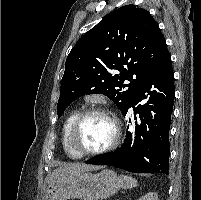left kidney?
<instances>
[{"mask_svg": "<svg viewBox=\"0 0 201 200\" xmlns=\"http://www.w3.org/2000/svg\"><path fill=\"white\" fill-rule=\"evenodd\" d=\"M138 200H158V195L154 192H149Z\"/></svg>", "mask_w": 201, "mask_h": 200, "instance_id": "1", "label": "left kidney"}]
</instances>
